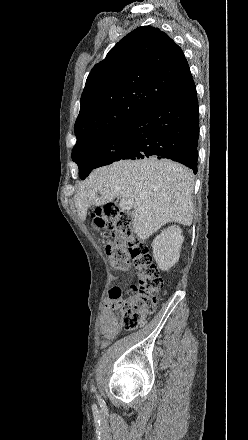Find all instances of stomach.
Instances as JSON below:
<instances>
[{"instance_id": "stomach-1", "label": "stomach", "mask_w": 248, "mask_h": 440, "mask_svg": "<svg viewBox=\"0 0 248 440\" xmlns=\"http://www.w3.org/2000/svg\"><path fill=\"white\" fill-rule=\"evenodd\" d=\"M96 224L98 225V226H97V229H98V230H101V229H102V226L100 225V224H101V221H100V220H97V221H96Z\"/></svg>"}]
</instances>
